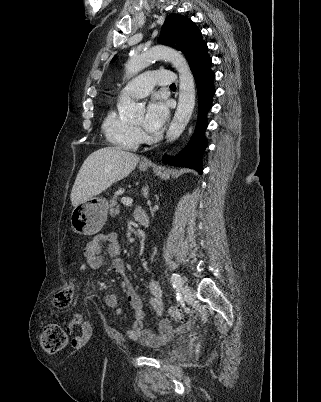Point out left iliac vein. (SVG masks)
I'll return each instance as SVG.
<instances>
[{"label": "left iliac vein", "instance_id": "obj_1", "mask_svg": "<svg viewBox=\"0 0 321 402\" xmlns=\"http://www.w3.org/2000/svg\"><path fill=\"white\" fill-rule=\"evenodd\" d=\"M182 294H183L184 299H185L187 302L192 301L193 298H194L193 290H192V288H191L190 286H188V285H184V286H183V288H182Z\"/></svg>", "mask_w": 321, "mask_h": 402}]
</instances>
